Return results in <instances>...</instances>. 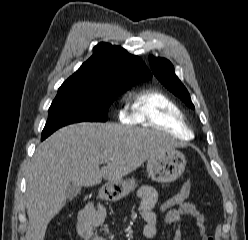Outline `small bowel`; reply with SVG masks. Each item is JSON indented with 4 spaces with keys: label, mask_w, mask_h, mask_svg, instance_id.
Wrapping results in <instances>:
<instances>
[{
    "label": "small bowel",
    "mask_w": 248,
    "mask_h": 240,
    "mask_svg": "<svg viewBox=\"0 0 248 240\" xmlns=\"http://www.w3.org/2000/svg\"><path fill=\"white\" fill-rule=\"evenodd\" d=\"M140 200L141 215L145 222L142 235L147 239H152L157 232V215L154 207L158 200L157 191L149 185L142 186L137 193ZM184 216L194 218L195 225L202 240H214L207 232L205 217L199 209L190 202H185L175 209L165 213V222L168 224H180ZM106 217V210L103 205L89 203L78 214L74 232L81 240H107L105 235L97 230ZM172 240H183L182 232L179 227L174 231Z\"/></svg>",
    "instance_id": "small-bowel-1"
}]
</instances>
